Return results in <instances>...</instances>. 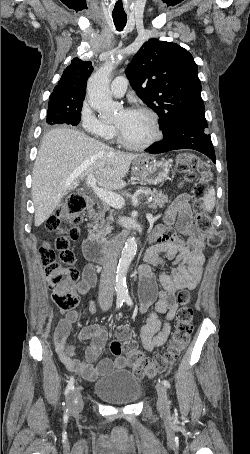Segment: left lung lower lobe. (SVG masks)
Here are the masks:
<instances>
[{
	"instance_id": "left-lung-lower-lobe-1",
	"label": "left lung lower lobe",
	"mask_w": 250,
	"mask_h": 454,
	"mask_svg": "<svg viewBox=\"0 0 250 454\" xmlns=\"http://www.w3.org/2000/svg\"><path fill=\"white\" fill-rule=\"evenodd\" d=\"M207 127L204 116L185 119L174 125L160 142L152 144L147 151L151 154H158L176 149H194L207 155L216 163Z\"/></svg>"
}]
</instances>
